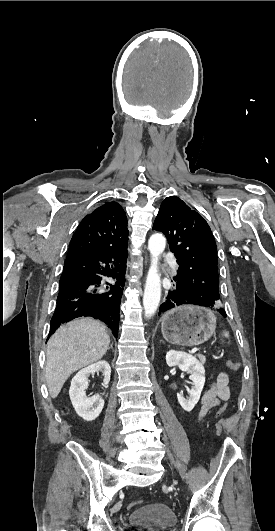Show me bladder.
Wrapping results in <instances>:
<instances>
[{
    "label": "bladder",
    "instance_id": "bladder-1",
    "mask_svg": "<svg viewBox=\"0 0 275 531\" xmlns=\"http://www.w3.org/2000/svg\"><path fill=\"white\" fill-rule=\"evenodd\" d=\"M130 524L135 531H164L176 525L177 519L167 504L146 503L131 512Z\"/></svg>",
    "mask_w": 275,
    "mask_h": 531
}]
</instances>
